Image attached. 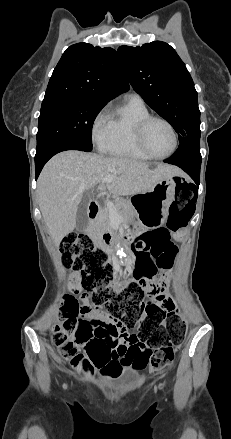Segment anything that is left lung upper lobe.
<instances>
[{
	"mask_svg": "<svg viewBox=\"0 0 231 439\" xmlns=\"http://www.w3.org/2000/svg\"><path fill=\"white\" fill-rule=\"evenodd\" d=\"M122 68L134 90L184 137L200 134V111L193 80L176 51L155 41L117 50Z\"/></svg>",
	"mask_w": 231,
	"mask_h": 439,
	"instance_id": "5c2ea615",
	"label": "left lung upper lobe"
}]
</instances>
